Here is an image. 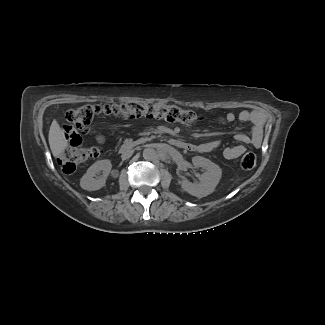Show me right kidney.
Wrapping results in <instances>:
<instances>
[{
    "label": "right kidney",
    "instance_id": "ca27d5eb",
    "mask_svg": "<svg viewBox=\"0 0 325 325\" xmlns=\"http://www.w3.org/2000/svg\"><path fill=\"white\" fill-rule=\"evenodd\" d=\"M110 160H100L91 165L80 179V186L84 190L95 191L101 189L111 171Z\"/></svg>",
    "mask_w": 325,
    "mask_h": 325
}]
</instances>
